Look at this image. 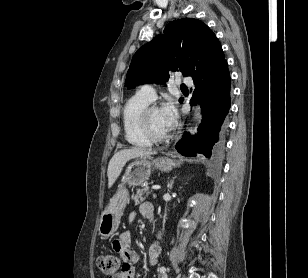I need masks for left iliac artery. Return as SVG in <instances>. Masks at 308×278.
<instances>
[{
  "mask_svg": "<svg viewBox=\"0 0 308 278\" xmlns=\"http://www.w3.org/2000/svg\"><path fill=\"white\" fill-rule=\"evenodd\" d=\"M160 272L163 274V278H167L166 268L165 267H161L160 268Z\"/></svg>",
  "mask_w": 308,
  "mask_h": 278,
  "instance_id": "1",
  "label": "left iliac artery"
}]
</instances>
